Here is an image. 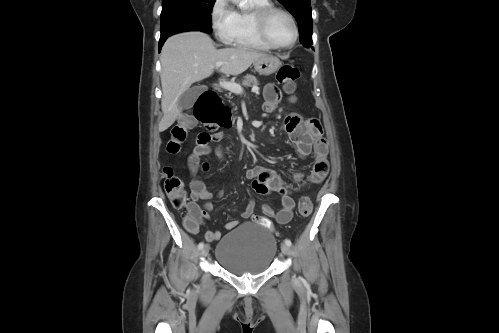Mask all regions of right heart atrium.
I'll use <instances>...</instances> for the list:
<instances>
[{
	"label": "right heart atrium",
	"instance_id": "right-heart-atrium-1",
	"mask_svg": "<svg viewBox=\"0 0 499 333\" xmlns=\"http://www.w3.org/2000/svg\"><path fill=\"white\" fill-rule=\"evenodd\" d=\"M210 24L217 39L231 43L236 24L235 10L228 0H214L210 9Z\"/></svg>",
	"mask_w": 499,
	"mask_h": 333
}]
</instances>
